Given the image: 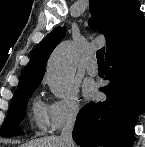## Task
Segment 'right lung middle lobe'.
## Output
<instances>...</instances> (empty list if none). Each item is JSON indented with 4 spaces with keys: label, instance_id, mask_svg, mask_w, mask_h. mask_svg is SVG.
I'll return each instance as SVG.
<instances>
[{
    "label": "right lung middle lobe",
    "instance_id": "dd1d6c3e",
    "mask_svg": "<svg viewBox=\"0 0 145 147\" xmlns=\"http://www.w3.org/2000/svg\"><path fill=\"white\" fill-rule=\"evenodd\" d=\"M38 86H31L15 91L9 113L0 129L3 137L15 136L20 134L19 124L25 116L28 99Z\"/></svg>",
    "mask_w": 145,
    "mask_h": 147
}]
</instances>
